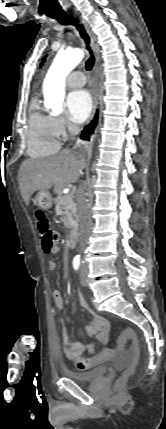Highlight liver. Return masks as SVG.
<instances>
[{
    "label": "liver",
    "mask_w": 166,
    "mask_h": 429,
    "mask_svg": "<svg viewBox=\"0 0 166 429\" xmlns=\"http://www.w3.org/2000/svg\"><path fill=\"white\" fill-rule=\"evenodd\" d=\"M83 167L84 160L69 150L48 158L23 161L18 180L25 204H29L36 191H47L54 187L55 193H60L68 184L77 182Z\"/></svg>",
    "instance_id": "1"
}]
</instances>
